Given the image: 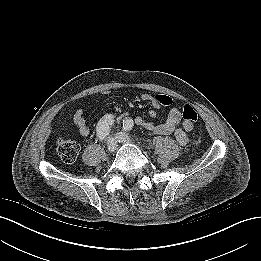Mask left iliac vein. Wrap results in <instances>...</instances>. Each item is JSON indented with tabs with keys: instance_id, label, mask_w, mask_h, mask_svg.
<instances>
[{
	"instance_id": "left-iliac-vein-1",
	"label": "left iliac vein",
	"mask_w": 261,
	"mask_h": 261,
	"mask_svg": "<svg viewBox=\"0 0 261 261\" xmlns=\"http://www.w3.org/2000/svg\"><path fill=\"white\" fill-rule=\"evenodd\" d=\"M116 139L120 143L131 142V138L124 132H117L116 133Z\"/></svg>"
}]
</instances>
